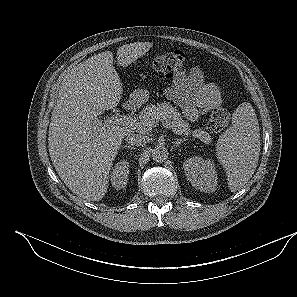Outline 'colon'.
Masks as SVG:
<instances>
[{"label": "colon", "instance_id": "5ec220e1", "mask_svg": "<svg viewBox=\"0 0 297 297\" xmlns=\"http://www.w3.org/2000/svg\"><path fill=\"white\" fill-rule=\"evenodd\" d=\"M190 64V58L179 50H172L157 55L148 63L151 69L167 77L176 76L183 72ZM229 119V111L225 107H217L209 116L207 128L213 133L221 132L228 125Z\"/></svg>", "mask_w": 297, "mask_h": 297}]
</instances>
